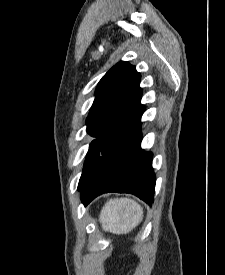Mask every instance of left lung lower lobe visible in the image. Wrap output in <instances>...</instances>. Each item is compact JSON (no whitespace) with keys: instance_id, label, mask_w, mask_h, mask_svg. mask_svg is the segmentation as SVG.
<instances>
[{"instance_id":"0a47b994","label":"left lung lower lobe","mask_w":225,"mask_h":275,"mask_svg":"<svg viewBox=\"0 0 225 275\" xmlns=\"http://www.w3.org/2000/svg\"><path fill=\"white\" fill-rule=\"evenodd\" d=\"M140 120L101 156L88 178L78 186L84 205L107 192L130 193L153 203L155 174L152 154L141 149Z\"/></svg>"}]
</instances>
